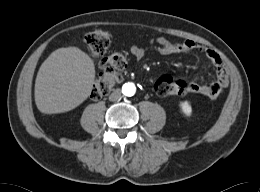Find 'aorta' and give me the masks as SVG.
Returning <instances> with one entry per match:
<instances>
[{
	"label": "aorta",
	"mask_w": 260,
	"mask_h": 192,
	"mask_svg": "<svg viewBox=\"0 0 260 192\" xmlns=\"http://www.w3.org/2000/svg\"><path fill=\"white\" fill-rule=\"evenodd\" d=\"M136 92V87L133 83H125L122 86V93L126 96H133Z\"/></svg>",
	"instance_id": "1"
}]
</instances>
